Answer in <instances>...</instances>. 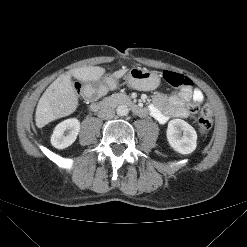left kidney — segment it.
I'll return each instance as SVG.
<instances>
[{
    "mask_svg": "<svg viewBox=\"0 0 247 247\" xmlns=\"http://www.w3.org/2000/svg\"><path fill=\"white\" fill-rule=\"evenodd\" d=\"M166 136L169 145L180 154H190L196 149L197 133L182 119L169 121Z\"/></svg>",
    "mask_w": 247,
    "mask_h": 247,
    "instance_id": "1",
    "label": "left kidney"
}]
</instances>
